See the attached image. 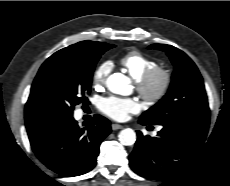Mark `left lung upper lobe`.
Masks as SVG:
<instances>
[{"label":"left lung upper lobe","mask_w":230,"mask_h":186,"mask_svg":"<svg viewBox=\"0 0 230 186\" xmlns=\"http://www.w3.org/2000/svg\"><path fill=\"white\" fill-rule=\"evenodd\" d=\"M149 49L165 51L174 65V72L168 93L144 112L140 120L151 125H163L184 118H209L203 79L194 62L171 45L152 44Z\"/></svg>","instance_id":"1"}]
</instances>
